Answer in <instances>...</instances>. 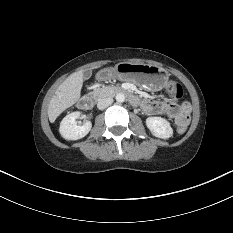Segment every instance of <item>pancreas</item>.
I'll return each instance as SVG.
<instances>
[{
    "mask_svg": "<svg viewBox=\"0 0 233 233\" xmlns=\"http://www.w3.org/2000/svg\"><path fill=\"white\" fill-rule=\"evenodd\" d=\"M120 88L119 87H102V88H95L92 94L97 97H103L107 95H111L114 91H118Z\"/></svg>",
    "mask_w": 233,
    "mask_h": 233,
    "instance_id": "cf45deb5",
    "label": "pancreas"
}]
</instances>
